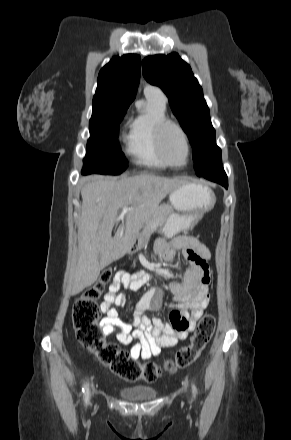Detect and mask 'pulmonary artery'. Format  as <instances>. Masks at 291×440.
Wrapping results in <instances>:
<instances>
[{
    "mask_svg": "<svg viewBox=\"0 0 291 440\" xmlns=\"http://www.w3.org/2000/svg\"><path fill=\"white\" fill-rule=\"evenodd\" d=\"M145 94H151L159 98L161 101L166 102L167 97L165 93L158 87L147 86L144 90Z\"/></svg>",
    "mask_w": 291,
    "mask_h": 440,
    "instance_id": "obj_1",
    "label": "pulmonary artery"
}]
</instances>
